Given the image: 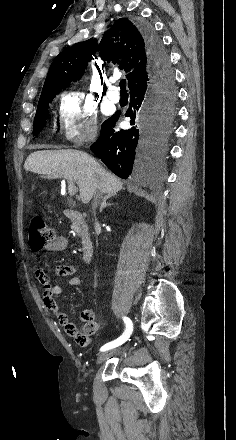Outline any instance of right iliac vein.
<instances>
[{"instance_id":"obj_1","label":"right iliac vein","mask_w":236,"mask_h":440,"mask_svg":"<svg viewBox=\"0 0 236 440\" xmlns=\"http://www.w3.org/2000/svg\"><path fill=\"white\" fill-rule=\"evenodd\" d=\"M118 351V349H112L110 351L101 353L97 358V364H101L104 362L109 356L115 354Z\"/></svg>"}]
</instances>
